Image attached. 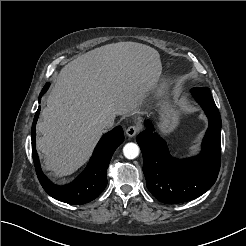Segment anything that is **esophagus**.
Here are the masks:
<instances>
[{
  "mask_svg": "<svg viewBox=\"0 0 246 246\" xmlns=\"http://www.w3.org/2000/svg\"><path fill=\"white\" fill-rule=\"evenodd\" d=\"M139 127L138 126H129L126 129V134L128 137H134L138 132H139Z\"/></svg>",
  "mask_w": 246,
  "mask_h": 246,
  "instance_id": "34e87169",
  "label": "esophagus"
}]
</instances>
